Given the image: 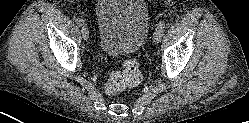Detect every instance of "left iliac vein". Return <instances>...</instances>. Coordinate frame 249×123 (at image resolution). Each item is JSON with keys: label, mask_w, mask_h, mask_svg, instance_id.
I'll list each match as a JSON object with an SVG mask.
<instances>
[{"label": "left iliac vein", "mask_w": 249, "mask_h": 123, "mask_svg": "<svg viewBox=\"0 0 249 123\" xmlns=\"http://www.w3.org/2000/svg\"><path fill=\"white\" fill-rule=\"evenodd\" d=\"M162 30L161 29H159V28H157L155 31H154V33H153V42L155 43V44H157V43H159L160 42V40H161V37H162Z\"/></svg>", "instance_id": "left-iliac-vein-1"}]
</instances>
